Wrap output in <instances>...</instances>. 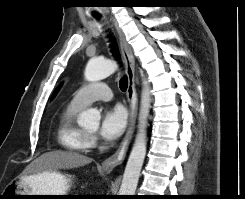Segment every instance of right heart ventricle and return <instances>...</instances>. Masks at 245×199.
I'll return each instance as SVG.
<instances>
[{"mask_svg":"<svg viewBox=\"0 0 245 199\" xmlns=\"http://www.w3.org/2000/svg\"><path fill=\"white\" fill-rule=\"evenodd\" d=\"M82 109L70 103L59 117L58 140L71 153H85L92 146L89 135L76 123V117Z\"/></svg>","mask_w":245,"mask_h":199,"instance_id":"e07e8e85","label":"right heart ventricle"}]
</instances>
